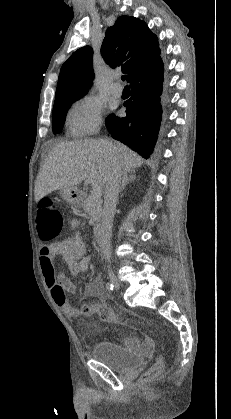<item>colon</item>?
Returning <instances> with one entry per match:
<instances>
[{"mask_svg": "<svg viewBox=\"0 0 231 419\" xmlns=\"http://www.w3.org/2000/svg\"><path fill=\"white\" fill-rule=\"evenodd\" d=\"M37 224L40 238L43 241H52L60 233L63 224L62 215L54 200L43 198L38 207ZM84 315L97 314L103 321L119 322L120 317L113 313L108 306H84L81 308ZM163 369L162 362H156L142 376V382L147 383L158 376Z\"/></svg>", "mask_w": 231, "mask_h": 419, "instance_id": "colon-1", "label": "colon"}]
</instances>
